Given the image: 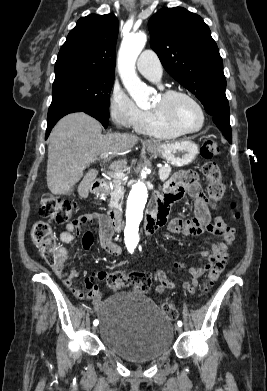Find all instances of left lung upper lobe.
I'll use <instances>...</instances> for the list:
<instances>
[{"label":"left lung upper lobe","instance_id":"left-lung-upper-lobe-1","mask_svg":"<svg viewBox=\"0 0 267 391\" xmlns=\"http://www.w3.org/2000/svg\"><path fill=\"white\" fill-rule=\"evenodd\" d=\"M148 28L151 48L165 70L208 114L229 113L222 58L203 19L182 7L163 8L150 18Z\"/></svg>","mask_w":267,"mask_h":391}]
</instances>
